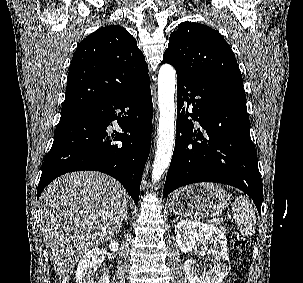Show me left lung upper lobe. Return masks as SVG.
I'll list each match as a JSON object with an SVG mask.
<instances>
[{
  "label": "left lung upper lobe",
  "instance_id": "left-lung-upper-lobe-1",
  "mask_svg": "<svg viewBox=\"0 0 303 283\" xmlns=\"http://www.w3.org/2000/svg\"><path fill=\"white\" fill-rule=\"evenodd\" d=\"M163 63L189 79L225 80L243 87L232 49L218 31L206 25L180 23L170 35Z\"/></svg>",
  "mask_w": 303,
  "mask_h": 283
}]
</instances>
